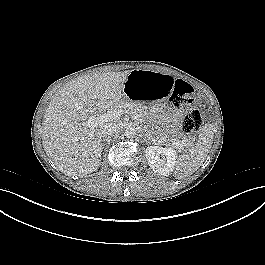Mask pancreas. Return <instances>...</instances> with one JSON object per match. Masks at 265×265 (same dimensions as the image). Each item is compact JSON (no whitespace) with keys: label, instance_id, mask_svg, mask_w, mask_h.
<instances>
[{"label":"pancreas","instance_id":"cf45deb5","mask_svg":"<svg viewBox=\"0 0 265 265\" xmlns=\"http://www.w3.org/2000/svg\"><path fill=\"white\" fill-rule=\"evenodd\" d=\"M117 109H121L124 113H129L133 119H135L138 123H143L145 119L148 117V111L144 106L136 104L131 100H121L117 106ZM145 135L149 139H153L157 134L161 137L163 143L175 145L178 142L176 139L168 134L166 130L160 129L159 131H155L153 129H149L147 126H144Z\"/></svg>","mask_w":265,"mask_h":265}]
</instances>
